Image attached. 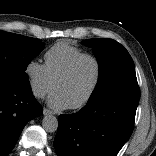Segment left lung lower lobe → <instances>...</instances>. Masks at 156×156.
I'll return each instance as SVG.
<instances>
[{
    "label": "left lung lower lobe",
    "mask_w": 156,
    "mask_h": 156,
    "mask_svg": "<svg viewBox=\"0 0 156 156\" xmlns=\"http://www.w3.org/2000/svg\"><path fill=\"white\" fill-rule=\"evenodd\" d=\"M138 98L110 95L88 102L79 112L58 117V156H116L130 138Z\"/></svg>",
    "instance_id": "left-lung-lower-lobe-1"
}]
</instances>
